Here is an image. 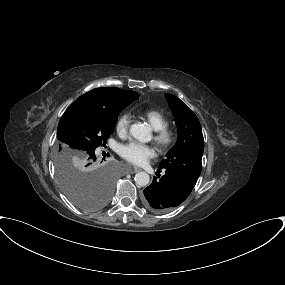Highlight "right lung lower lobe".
Returning <instances> with one entry per match:
<instances>
[{
  "label": "right lung lower lobe",
  "instance_id": "right-lung-lower-lobe-1",
  "mask_svg": "<svg viewBox=\"0 0 285 285\" xmlns=\"http://www.w3.org/2000/svg\"><path fill=\"white\" fill-rule=\"evenodd\" d=\"M96 162H97V157H96V155H92L89 165H90V166L95 165Z\"/></svg>",
  "mask_w": 285,
  "mask_h": 285
}]
</instances>
